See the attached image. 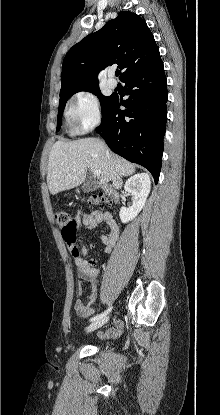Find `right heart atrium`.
Segmentation results:
<instances>
[{"label": "right heart atrium", "instance_id": "right-heart-atrium-1", "mask_svg": "<svg viewBox=\"0 0 220 415\" xmlns=\"http://www.w3.org/2000/svg\"><path fill=\"white\" fill-rule=\"evenodd\" d=\"M66 115L72 132L84 133L94 129L102 120L98 96L90 90L78 92L68 106Z\"/></svg>", "mask_w": 220, "mask_h": 415}]
</instances>
